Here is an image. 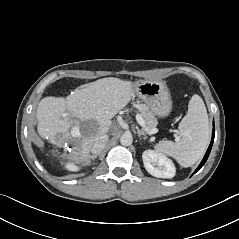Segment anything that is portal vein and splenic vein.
I'll list each match as a JSON object with an SVG mask.
<instances>
[{
  "mask_svg": "<svg viewBox=\"0 0 239 239\" xmlns=\"http://www.w3.org/2000/svg\"><path fill=\"white\" fill-rule=\"evenodd\" d=\"M136 120L138 122V124L143 128L144 131H146L149 135L155 134L157 132V129H149L144 121V119L137 114L136 115Z\"/></svg>",
  "mask_w": 239,
  "mask_h": 239,
  "instance_id": "1",
  "label": "portal vein and splenic vein"
}]
</instances>
